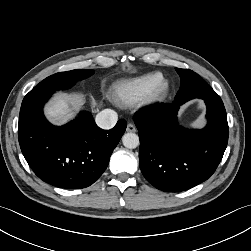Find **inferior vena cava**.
<instances>
[{"mask_svg": "<svg viewBox=\"0 0 251 251\" xmlns=\"http://www.w3.org/2000/svg\"><path fill=\"white\" fill-rule=\"evenodd\" d=\"M117 120V113L111 109H104L96 115V124L102 129L113 128Z\"/></svg>", "mask_w": 251, "mask_h": 251, "instance_id": "602c4592", "label": "inferior vena cava"}]
</instances>
